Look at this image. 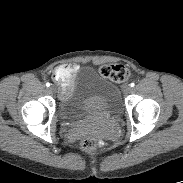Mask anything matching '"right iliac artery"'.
Listing matches in <instances>:
<instances>
[{"instance_id":"obj_1","label":"right iliac artery","mask_w":183,"mask_h":183,"mask_svg":"<svg viewBox=\"0 0 183 183\" xmlns=\"http://www.w3.org/2000/svg\"><path fill=\"white\" fill-rule=\"evenodd\" d=\"M46 86L49 87L50 86V83H46Z\"/></svg>"}]
</instances>
